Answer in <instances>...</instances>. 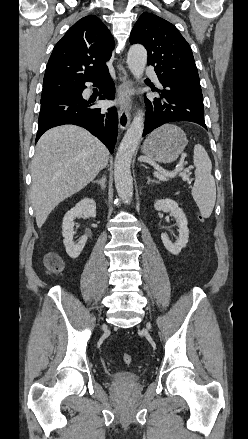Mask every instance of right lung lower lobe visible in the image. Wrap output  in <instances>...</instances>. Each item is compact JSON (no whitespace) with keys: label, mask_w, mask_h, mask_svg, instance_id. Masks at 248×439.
Instances as JSON below:
<instances>
[{"label":"right lung lower lobe","mask_w":248,"mask_h":439,"mask_svg":"<svg viewBox=\"0 0 248 439\" xmlns=\"http://www.w3.org/2000/svg\"><path fill=\"white\" fill-rule=\"evenodd\" d=\"M88 82L100 88V100L114 99L115 85L108 69ZM85 88L84 83L69 92L41 103L36 142L45 131L52 127L74 124L86 128L101 140L111 153L113 152L118 132L116 108L105 110L95 107L94 101L85 100L82 97Z\"/></svg>","instance_id":"obj_1"}]
</instances>
